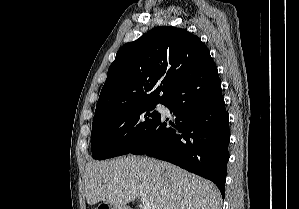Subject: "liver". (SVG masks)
Segmentation results:
<instances>
[{
    "instance_id": "obj_1",
    "label": "liver",
    "mask_w": 299,
    "mask_h": 209,
    "mask_svg": "<svg viewBox=\"0 0 299 209\" xmlns=\"http://www.w3.org/2000/svg\"><path fill=\"white\" fill-rule=\"evenodd\" d=\"M85 195L89 205L104 201L123 207L144 197L156 209H221V194L212 182L148 157L88 163Z\"/></svg>"
}]
</instances>
